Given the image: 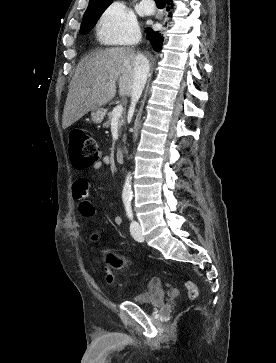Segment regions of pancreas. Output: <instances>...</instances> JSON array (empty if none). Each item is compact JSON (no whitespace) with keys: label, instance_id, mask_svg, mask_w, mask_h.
<instances>
[{"label":"pancreas","instance_id":"cf45deb5","mask_svg":"<svg viewBox=\"0 0 276 363\" xmlns=\"http://www.w3.org/2000/svg\"><path fill=\"white\" fill-rule=\"evenodd\" d=\"M107 117H108V120L103 124L105 127H109L110 126V122H111V120L113 118L112 112H109L107 114ZM118 125H119V129H121V127L124 125V119L123 118L119 120Z\"/></svg>","mask_w":276,"mask_h":363}]
</instances>
